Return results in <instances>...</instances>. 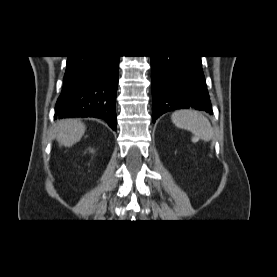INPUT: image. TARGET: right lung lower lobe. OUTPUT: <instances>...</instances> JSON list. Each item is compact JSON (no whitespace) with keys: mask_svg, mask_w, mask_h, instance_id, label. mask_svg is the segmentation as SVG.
<instances>
[{"mask_svg":"<svg viewBox=\"0 0 277 277\" xmlns=\"http://www.w3.org/2000/svg\"><path fill=\"white\" fill-rule=\"evenodd\" d=\"M119 56H68L64 85L55 119L96 117L116 130V92Z\"/></svg>","mask_w":277,"mask_h":277,"instance_id":"obj_1","label":"right lung lower lobe"}]
</instances>
